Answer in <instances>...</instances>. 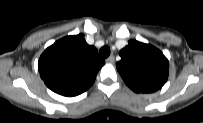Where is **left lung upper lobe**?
I'll list each match as a JSON object with an SVG mask.
<instances>
[{"instance_id": "left-lung-upper-lobe-1", "label": "left lung upper lobe", "mask_w": 203, "mask_h": 123, "mask_svg": "<svg viewBox=\"0 0 203 123\" xmlns=\"http://www.w3.org/2000/svg\"><path fill=\"white\" fill-rule=\"evenodd\" d=\"M119 54L121 60L116 64L117 70L133 91L152 93L166 82L169 62L159 49L130 40Z\"/></svg>"}]
</instances>
